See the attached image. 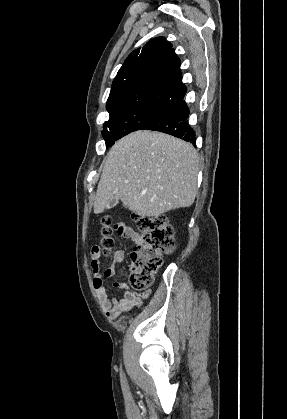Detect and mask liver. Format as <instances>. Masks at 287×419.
I'll return each mask as SVG.
<instances>
[{
    "label": "liver",
    "mask_w": 287,
    "mask_h": 419,
    "mask_svg": "<svg viewBox=\"0 0 287 419\" xmlns=\"http://www.w3.org/2000/svg\"><path fill=\"white\" fill-rule=\"evenodd\" d=\"M198 171L191 144L160 132H133L117 141L103 162L94 213L104 212L113 198L143 217L189 207L197 194Z\"/></svg>",
    "instance_id": "6515ba94"
}]
</instances>
